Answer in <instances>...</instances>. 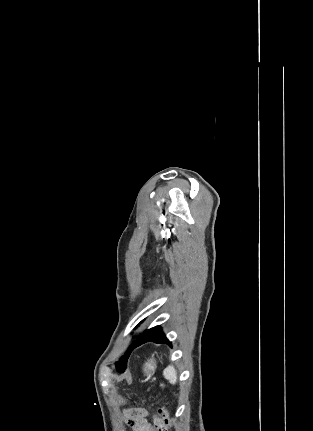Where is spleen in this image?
<instances>
[{"label": "spleen", "instance_id": "1", "mask_svg": "<svg viewBox=\"0 0 313 431\" xmlns=\"http://www.w3.org/2000/svg\"><path fill=\"white\" fill-rule=\"evenodd\" d=\"M163 375H164V377H165L167 380H169V382H170L171 384H176V382H177V373H176L175 368H174L172 365L168 366V367L164 370Z\"/></svg>", "mask_w": 313, "mask_h": 431}]
</instances>
